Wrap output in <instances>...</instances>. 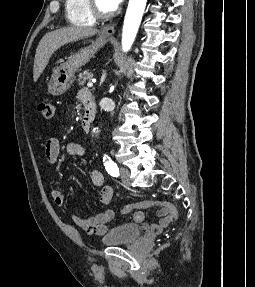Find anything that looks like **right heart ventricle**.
Returning <instances> with one entry per match:
<instances>
[{"mask_svg":"<svg viewBox=\"0 0 255 287\" xmlns=\"http://www.w3.org/2000/svg\"><path fill=\"white\" fill-rule=\"evenodd\" d=\"M78 33H88V32H78ZM88 39H97V38H88Z\"/></svg>","mask_w":255,"mask_h":287,"instance_id":"obj_1","label":"right heart ventricle"}]
</instances>
